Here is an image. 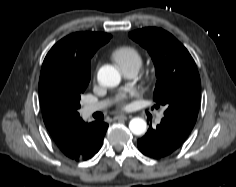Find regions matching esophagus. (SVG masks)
I'll return each instance as SVG.
<instances>
[{
  "label": "esophagus",
  "instance_id": "34e87169",
  "mask_svg": "<svg viewBox=\"0 0 236 187\" xmlns=\"http://www.w3.org/2000/svg\"><path fill=\"white\" fill-rule=\"evenodd\" d=\"M127 116L126 115H116L114 117V120H126Z\"/></svg>",
  "mask_w": 236,
  "mask_h": 187
}]
</instances>
